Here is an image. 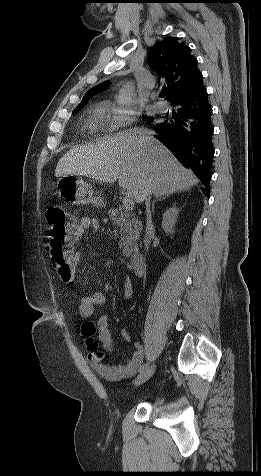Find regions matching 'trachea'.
<instances>
[{"instance_id": "trachea-1", "label": "trachea", "mask_w": 261, "mask_h": 476, "mask_svg": "<svg viewBox=\"0 0 261 476\" xmlns=\"http://www.w3.org/2000/svg\"><path fill=\"white\" fill-rule=\"evenodd\" d=\"M166 95V91H161L160 96L164 97Z\"/></svg>"}]
</instances>
